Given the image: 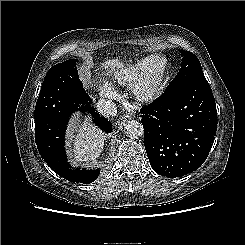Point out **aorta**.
Returning <instances> with one entry per match:
<instances>
[{
    "mask_svg": "<svg viewBox=\"0 0 245 245\" xmlns=\"http://www.w3.org/2000/svg\"><path fill=\"white\" fill-rule=\"evenodd\" d=\"M124 130L126 136L131 139H137L144 134L143 125L136 120L128 121L125 125Z\"/></svg>",
    "mask_w": 245,
    "mask_h": 245,
    "instance_id": "762f6f07",
    "label": "aorta"
}]
</instances>
